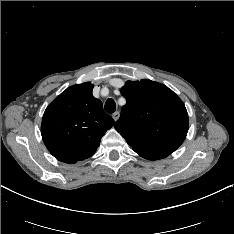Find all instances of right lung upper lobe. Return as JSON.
Segmentation results:
<instances>
[{
    "label": "right lung upper lobe",
    "mask_w": 234,
    "mask_h": 234,
    "mask_svg": "<svg viewBox=\"0 0 234 234\" xmlns=\"http://www.w3.org/2000/svg\"><path fill=\"white\" fill-rule=\"evenodd\" d=\"M90 82L67 88L46 108L41 134L49 152L59 161L76 163L91 157L102 136L114 125L102 102L92 95Z\"/></svg>",
    "instance_id": "obj_1"
}]
</instances>
